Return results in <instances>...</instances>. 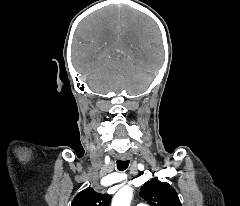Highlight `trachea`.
<instances>
[{
	"label": "trachea",
	"mask_w": 240,
	"mask_h": 206,
	"mask_svg": "<svg viewBox=\"0 0 240 206\" xmlns=\"http://www.w3.org/2000/svg\"><path fill=\"white\" fill-rule=\"evenodd\" d=\"M128 165H129V160H126V161H120L119 160V161H117V168L120 171H123V170L127 169Z\"/></svg>",
	"instance_id": "trachea-1"
}]
</instances>
